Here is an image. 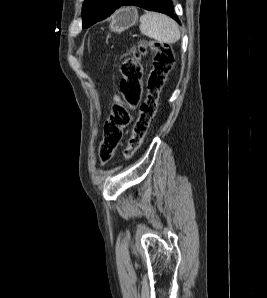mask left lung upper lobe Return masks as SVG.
I'll list each match as a JSON object with an SVG mask.
<instances>
[{
  "label": "left lung upper lobe",
  "instance_id": "1",
  "mask_svg": "<svg viewBox=\"0 0 267 298\" xmlns=\"http://www.w3.org/2000/svg\"><path fill=\"white\" fill-rule=\"evenodd\" d=\"M114 2L115 0H85L82 8L83 27L94 16L106 13Z\"/></svg>",
  "mask_w": 267,
  "mask_h": 298
}]
</instances>
